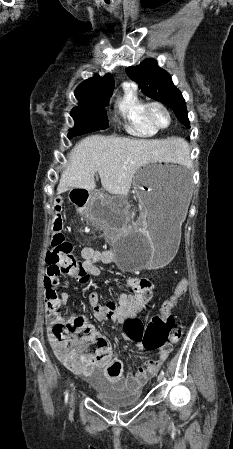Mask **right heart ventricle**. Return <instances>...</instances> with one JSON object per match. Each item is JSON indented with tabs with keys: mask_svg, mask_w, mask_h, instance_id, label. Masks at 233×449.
<instances>
[{
	"mask_svg": "<svg viewBox=\"0 0 233 449\" xmlns=\"http://www.w3.org/2000/svg\"><path fill=\"white\" fill-rule=\"evenodd\" d=\"M145 105V99L129 84L123 86V93L115 102V111L123 120L125 130L134 137L149 138L157 133L145 119Z\"/></svg>",
	"mask_w": 233,
	"mask_h": 449,
	"instance_id": "1",
	"label": "right heart ventricle"
}]
</instances>
